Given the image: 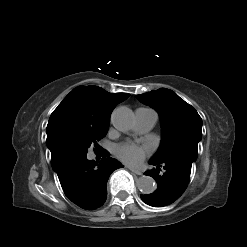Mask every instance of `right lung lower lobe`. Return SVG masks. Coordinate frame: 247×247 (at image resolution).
Returning <instances> with one entry per match:
<instances>
[{
    "label": "right lung lower lobe",
    "instance_id": "right-lung-lower-lobe-1",
    "mask_svg": "<svg viewBox=\"0 0 247 247\" xmlns=\"http://www.w3.org/2000/svg\"><path fill=\"white\" fill-rule=\"evenodd\" d=\"M106 156H109L107 152ZM51 165L66 196L87 210L103 205L107 197L106 184L110 174L123 167L111 157H104L98 163L88 160L86 154L65 151L51 154Z\"/></svg>",
    "mask_w": 247,
    "mask_h": 247
}]
</instances>
